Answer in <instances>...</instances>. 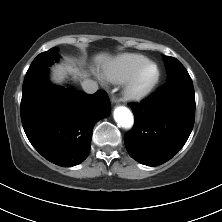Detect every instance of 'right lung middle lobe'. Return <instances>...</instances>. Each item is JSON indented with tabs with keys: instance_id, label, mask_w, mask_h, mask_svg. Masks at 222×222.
Wrapping results in <instances>:
<instances>
[{
	"instance_id": "1",
	"label": "right lung middle lobe",
	"mask_w": 222,
	"mask_h": 222,
	"mask_svg": "<svg viewBox=\"0 0 222 222\" xmlns=\"http://www.w3.org/2000/svg\"><path fill=\"white\" fill-rule=\"evenodd\" d=\"M59 55L57 48H52L46 52L39 54L31 66L29 67L23 83V94L31 91L32 89L49 85L47 83V72L53 60L57 61Z\"/></svg>"
}]
</instances>
